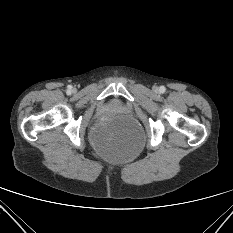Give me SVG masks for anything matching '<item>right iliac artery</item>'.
<instances>
[{"label": "right iliac artery", "mask_w": 233, "mask_h": 233, "mask_svg": "<svg viewBox=\"0 0 233 233\" xmlns=\"http://www.w3.org/2000/svg\"><path fill=\"white\" fill-rule=\"evenodd\" d=\"M71 88H72L71 86H68V90H71Z\"/></svg>", "instance_id": "82829eb1"}]
</instances>
